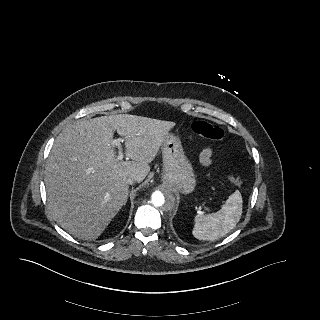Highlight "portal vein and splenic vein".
Instances as JSON below:
<instances>
[{
    "instance_id": "1",
    "label": "portal vein and splenic vein",
    "mask_w": 320,
    "mask_h": 320,
    "mask_svg": "<svg viewBox=\"0 0 320 320\" xmlns=\"http://www.w3.org/2000/svg\"><path fill=\"white\" fill-rule=\"evenodd\" d=\"M123 139H116L112 142V145L113 146H117L118 147V150H119V154L117 156V160H122L123 159V151H122V148H121V143H123Z\"/></svg>"
}]
</instances>
